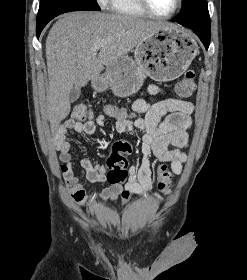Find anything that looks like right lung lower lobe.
Segmentation results:
<instances>
[{
  "label": "right lung lower lobe",
  "mask_w": 247,
  "mask_h": 280,
  "mask_svg": "<svg viewBox=\"0 0 247 280\" xmlns=\"http://www.w3.org/2000/svg\"><path fill=\"white\" fill-rule=\"evenodd\" d=\"M45 27V25H37L36 26V35L37 38H39L41 31L43 30V28Z\"/></svg>",
  "instance_id": "1"
}]
</instances>
